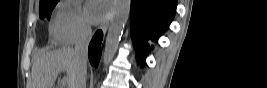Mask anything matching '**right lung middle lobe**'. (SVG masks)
Instances as JSON below:
<instances>
[{
  "mask_svg": "<svg viewBox=\"0 0 267 88\" xmlns=\"http://www.w3.org/2000/svg\"><path fill=\"white\" fill-rule=\"evenodd\" d=\"M59 0H45L40 2L39 5V15L42 19L45 17L50 19L51 13L55 5L58 3Z\"/></svg>",
  "mask_w": 267,
  "mask_h": 88,
  "instance_id": "dd1d6c3e",
  "label": "right lung middle lobe"
}]
</instances>
